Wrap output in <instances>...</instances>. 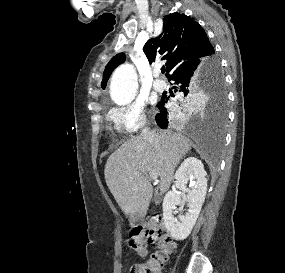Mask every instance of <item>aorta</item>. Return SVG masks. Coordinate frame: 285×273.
<instances>
[{"label":"aorta","instance_id":"aorta-1","mask_svg":"<svg viewBox=\"0 0 285 273\" xmlns=\"http://www.w3.org/2000/svg\"><path fill=\"white\" fill-rule=\"evenodd\" d=\"M137 73L133 65L118 67L111 79L110 96L117 105L129 104L135 97L138 87Z\"/></svg>","mask_w":285,"mask_h":273}]
</instances>
